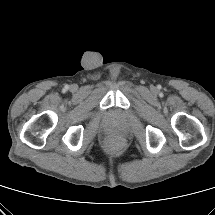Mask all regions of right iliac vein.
<instances>
[{"label": "right iliac vein", "mask_w": 215, "mask_h": 215, "mask_svg": "<svg viewBox=\"0 0 215 215\" xmlns=\"http://www.w3.org/2000/svg\"><path fill=\"white\" fill-rule=\"evenodd\" d=\"M71 88H72V89H75V86H72Z\"/></svg>", "instance_id": "63e3f726"}]
</instances>
